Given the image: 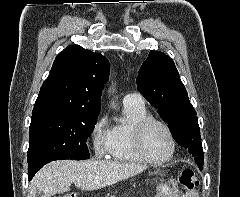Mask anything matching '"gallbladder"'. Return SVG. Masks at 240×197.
I'll use <instances>...</instances> for the list:
<instances>
[{"instance_id": "bac80fb5", "label": "gallbladder", "mask_w": 240, "mask_h": 197, "mask_svg": "<svg viewBox=\"0 0 240 197\" xmlns=\"http://www.w3.org/2000/svg\"><path fill=\"white\" fill-rule=\"evenodd\" d=\"M36 197H47L42 191H37Z\"/></svg>"}]
</instances>
